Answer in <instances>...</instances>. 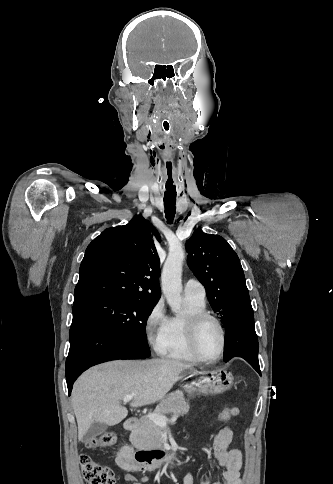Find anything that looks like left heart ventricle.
Instances as JSON below:
<instances>
[{
  "label": "left heart ventricle",
  "mask_w": 333,
  "mask_h": 484,
  "mask_svg": "<svg viewBox=\"0 0 333 484\" xmlns=\"http://www.w3.org/2000/svg\"><path fill=\"white\" fill-rule=\"evenodd\" d=\"M221 346V337L218 327L212 321H206L200 328L198 347L206 358L217 356Z\"/></svg>",
  "instance_id": "obj_1"
}]
</instances>
